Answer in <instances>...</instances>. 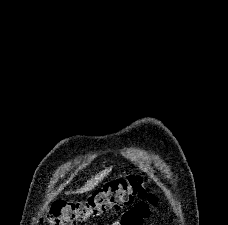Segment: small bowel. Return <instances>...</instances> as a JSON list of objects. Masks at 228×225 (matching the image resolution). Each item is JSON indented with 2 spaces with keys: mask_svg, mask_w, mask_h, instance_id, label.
Listing matches in <instances>:
<instances>
[{
  "mask_svg": "<svg viewBox=\"0 0 228 225\" xmlns=\"http://www.w3.org/2000/svg\"><path fill=\"white\" fill-rule=\"evenodd\" d=\"M129 212H148V204H135V207L125 209L121 221H116L113 225H142V218H148V213Z\"/></svg>",
  "mask_w": 228,
  "mask_h": 225,
  "instance_id": "c3829d8e",
  "label": "small bowel"
}]
</instances>
